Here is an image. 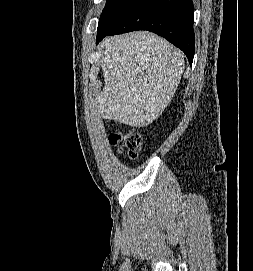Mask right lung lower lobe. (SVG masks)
<instances>
[{"mask_svg":"<svg viewBox=\"0 0 253 271\" xmlns=\"http://www.w3.org/2000/svg\"><path fill=\"white\" fill-rule=\"evenodd\" d=\"M193 19L192 0H134L111 29L98 32L97 43L105 36L148 30L164 37L181 49L192 64Z\"/></svg>","mask_w":253,"mask_h":271,"instance_id":"98d812e1","label":"right lung lower lobe"}]
</instances>
